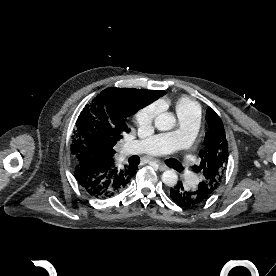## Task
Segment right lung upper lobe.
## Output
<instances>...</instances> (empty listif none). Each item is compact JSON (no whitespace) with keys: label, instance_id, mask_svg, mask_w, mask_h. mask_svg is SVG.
<instances>
[{"label":"right lung upper lobe","instance_id":"cb5924a9","mask_svg":"<svg viewBox=\"0 0 276 276\" xmlns=\"http://www.w3.org/2000/svg\"><path fill=\"white\" fill-rule=\"evenodd\" d=\"M103 93L109 94L114 96L129 112H133V114L141 107L145 106L146 104L152 102L153 100L158 99L159 97L165 94V91L159 90H139V89H119V88H109L104 91ZM130 129L123 131L129 132ZM122 132V133H123ZM121 133V134H122ZM122 138V135L116 137L115 140L106 145L100 151L95 154L89 156H95L100 161L103 162H114V153L115 150L113 149L114 145Z\"/></svg>","mask_w":276,"mask_h":276}]
</instances>
